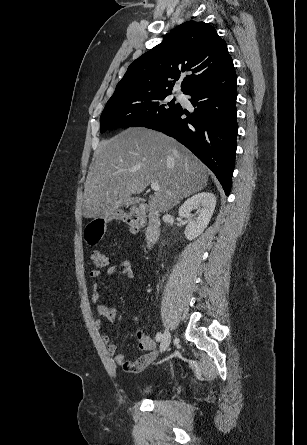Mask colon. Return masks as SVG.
Here are the masks:
<instances>
[{"instance_id":"obj_1","label":"colon","mask_w":307,"mask_h":445,"mask_svg":"<svg viewBox=\"0 0 307 445\" xmlns=\"http://www.w3.org/2000/svg\"><path fill=\"white\" fill-rule=\"evenodd\" d=\"M120 220L124 222L132 232L140 231L145 223L144 217L135 212H120L106 218H96L91 220L85 227L84 239L90 245H96L104 236L106 226L110 221ZM91 260L97 270L103 269L109 264V257L103 250L95 249L91 252ZM139 342L142 345H148L150 338L138 333Z\"/></svg>"}]
</instances>
